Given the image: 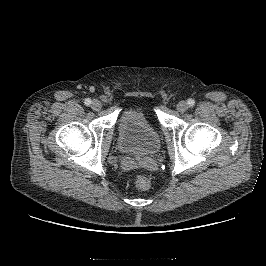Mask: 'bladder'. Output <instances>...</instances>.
Instances as JSON below:
<instances>
[{"label": "bladder", "mask_w": 266, "mask_h": 266, "mask_svg": "<svg viewBox=\"0 0 266 266\" xmlns=\"http://www.w3.org/2000/svg\"><path fill=\"white\" fill-rule=\"evenodd\" d=\"M120 150L136 157L155 154L160 148V137L153 123L138 109L121 112L118 120Z\"/></svg>", "instance_id": "31cf9c89"}]
</instances>
